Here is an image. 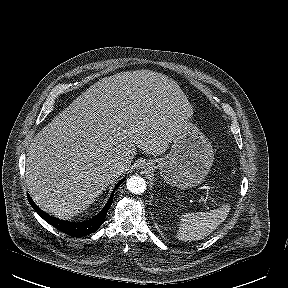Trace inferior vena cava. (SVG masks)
<instances>
[{
	"mask_svg": "<svg viewBox=\"0 0 288 288\" xmlns=\"http://www.w3.org/2000/svg\"><path fill=\"white\" fill-rule=\"evenodd\" d=\"M125 169V164L118 162L111 164L107 169V175L109 177H115L119 174H121Z\"/></svg>",
	"mask_w": 288,
	"mask_h": 288,
	"instance_id": "obj_1",
	"label": "inferior vena cava"
}]
</instances>
